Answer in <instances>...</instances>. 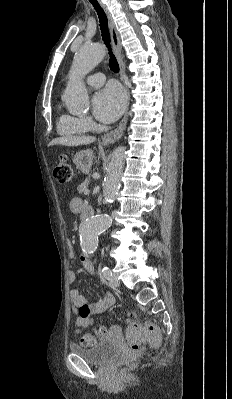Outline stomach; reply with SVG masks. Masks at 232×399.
Masks as SVG:
<instances>
[{"instance_id": "1", "label": "stomach", "mask_w": 232, "mask_h": 399, "mask_svg": "<svg viewBox=\"0 0 232 399\" xmlns=\"http://www.w3.org/2000/svg\"><path fill=\"white\" fill-rule=\"evenodd\" d=\"M94 156L91 150H83V152H77L73 158V162L75 166H77L80 172L83 174H89L92 164H93Z\"/></svg>"}]
</instances>
